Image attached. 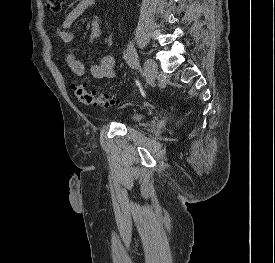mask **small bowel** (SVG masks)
I'll list each match as a JSON object with an SVG mask.
<instances>
[{"label": "small bowel", "instance_id": "obj_1", "mask_svg": "<svg viewBox=\"0 0 275 263\" xmlns=\"http://www.w3.org/2000/svg\"><path fill=\"white\" fill-rule=\"evenodd\" d=\"M93 6V0H79V2L67 13L61 26L57 28L56 35L63 43H72L75 39L72 26L74 22ZM102 32L101 21L94 18L89 27L88 44L93 43ZM69 69L78 77L86 73V65L74 54L69 53L65 57ZM89 73L95 79L113 78L115 76V58L104 56L98 63L89 65Z\"/></svg>", "mask_w": 275, "mask_h": 263}]
</instances>
